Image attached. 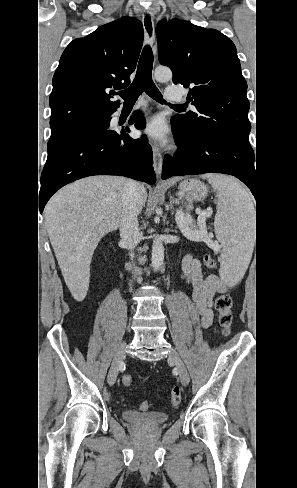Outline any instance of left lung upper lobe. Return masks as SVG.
Returning a JSON list of instances; mask_svg holds the SVG:
<instances>
[{
  "instance_id": "left-lung-upper-lobe-1",
  "label": "left lung upper lobe",
  "mask_w": 297,
  "mask_h": 488,
  "mask_svg": "<svg viewBox=\"0 0 297 488\" xmlns=\"http://www.w3.org/2000/svg\"><path fill=\"white\" fill-rule=\"evenodd\" d=\"M158 59L170 67L173 82L189 88L196 112L172 120L185 136L213 135L250 145L247 83L234 43L215 29L177 19L156 28Z\"/></svg>"
}]
</instances>
